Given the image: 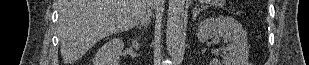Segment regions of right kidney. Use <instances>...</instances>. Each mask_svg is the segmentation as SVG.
<instances>
[{
  "label": "right kidney",
  "instance_id": "ca27d5eb",
  "mask_svg": "<svg viewBox=\"0 0 309 65\" xmlns=\"http://www.w3.org/2000/svg\"><path fill=\"white\" fill-rule=\"evenodd\" d=\"M132 46L136 50L140 48L137 40H132ZM123 48L124 42L121 38L109 40L97 52L94 65H118Z\"/></svg>",
  "mask_w": 309,
  "mask_h": 65
}]
</instances>
